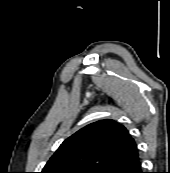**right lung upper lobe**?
I'll list each match as a JSON object with an SVG mask.
<instances>
[{
    "label": "right lung upper lobe",
    "instance_id": "right-lung-upper-lobe-1",
    "mask_svg": "<svg viewBox=\"0 0 170 173\" xmlns=\"http://www.w3.org/2000/svg\"><path fill=\"white\" fill-rule=\"evenodd\" d=\"M138 154L128 130L114 120L91 123L66 139L41 173H103L107 168Z\"/></svg>",
    "mask_w": 170,
    "mask_h": 173
}]
</instances>
